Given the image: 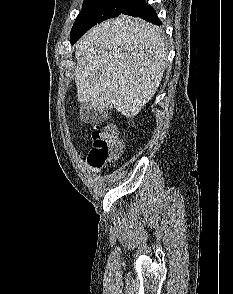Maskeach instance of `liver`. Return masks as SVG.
<instances>
[{
  "mask_svg": "<svg viewBox=\"0 0 233 294\" xmlns=\"http://www.w3.org/2000/svg\"><path fill=\"white\" fill-rule=\"evenodd\" d=\"M77 100L135 117L156 93L167 64L162 32L121 15L89 30L75 46Z\"/></svg>",
  "mask_w": 233,
  "mask_h": 294,
  "instance_id": "liver-1",
  "label": "liver"
}]
</instances>
